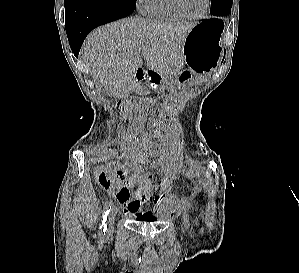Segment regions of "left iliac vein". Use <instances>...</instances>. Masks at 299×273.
Listing matches in <instances>:
<instances>
[{"label":"left iliac vein","instance_id":"4c4485c4","mask_svg":"<svg viewBox=\"0 0 299 273\" xmlns=\"http://www.w3.org/2000/svg\"><path fill=\"white\" fill-rule=\"evenodd\" d=\"M184 227L188 228V218H187V216L184 217Z\"/></svg>","mask_w":299,"mask_h":273}]
</instances>
